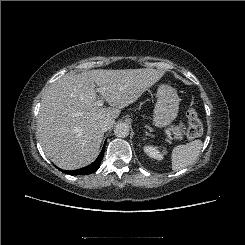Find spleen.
<instances>
[{
  "label": "spleen",
  "mask_w": 245,
  "mask_h": 245,
  "mask_svg": "<svg viewBox=\"0 0 245 245\" xmlns=\"http://www.w3.org/2000/svg\"><path fill=\"white\" fill-rule=\"evenodd\" d=\"M202 141L197 139L185 145H177L171 153L172 170L178 171L197 159L202 149Z\"/></svg>",
  "instance_id": "spleen-1"
}]
</instances>
